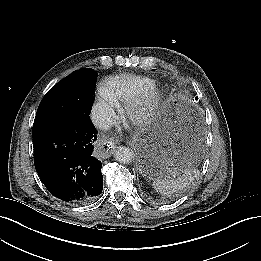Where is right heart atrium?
I'll use <instances>...</instances> for the list:
<instances>
[{
	"mask_svg": "<svg viewBox=\"0 0 261 261\" xmlns=\"http://www.w3.org/2000/svg\"><path fill=\"white\" fill-rule=\"evenodd\" d=\"M116 103L113 98L102 89L99 94L98 103L95 106L96 116L99 120L110 121L115 113Z\"/></svg>",
	"mask_w": 261,
	"mask_h": 261,
	"instance_id": "1",
	"label": "right heart atrium"
}]
</instances>
